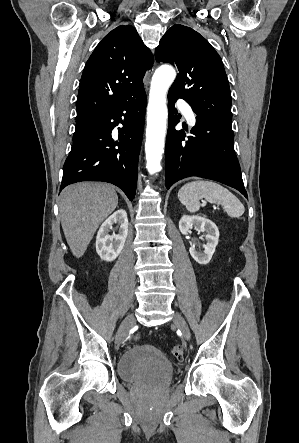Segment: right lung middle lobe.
Returning a JSON list of instances; mask_svg holds the SVG:
<instances>
[{
	"label": "right lung middle lobe",
	"mask_w": 299,
	"mask_h": 443,
	"mask_svg": "<svg viewBox=\"0 0 299 443\" xmlns=\"http://www.w3.org/2000/svg\"><path fill=\"white\" fill-rule=\"evenodd\" d=\"M94 124H95L94 119L77 123L75 133L73 136V141L75 142L78 139H80Z\"/></svg>",
	"instance_id": "1"
}]
</instances>
